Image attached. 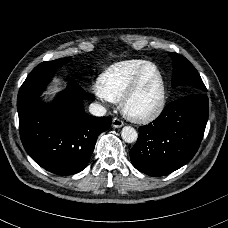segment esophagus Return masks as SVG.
Listing matches in <instances>:
<instances>
[{
  "instance_id": "34e87169",
  "label": "esophagus",
  "mask_w": 228,
  "mask_h": 228,
  "mask_svg": "<svg viewBox=\"0 0 228 228\" xmlns=\"http://www.w3.org/2000/svg\"><path fill=\"white\" fill-rule=\"evenodd\" d=\"M112 125L114 128H121L122 126H124V123L122 120H120L118 118H114L112 121Z\"/></svg>"
}]
</instances>
